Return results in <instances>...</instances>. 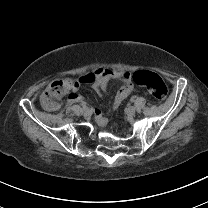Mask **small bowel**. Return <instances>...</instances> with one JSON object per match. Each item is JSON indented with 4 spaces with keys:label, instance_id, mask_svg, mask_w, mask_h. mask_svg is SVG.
<instances>
[{
    "label": "small bowel",
    "instance_id": "1",
    "mask_svg": "<svg viewBox=\"0 0 208 208\" xmlns=\"http://www.w3.org/2000/svg\"><path fill=\"white\" fill-rule=\"evenodd\" d=\"M109 78H115L123 82V86L117 92L112 102V108H117L132 92V85L130 84L129 77L125 73H118L105 67H98L93 72L87 73L79 79L68 80L74 90L78 89L80 85L92 84L97 92H101L105 89L106 81ZM80 101L81 99L76 94L69 96V104L79 103ZM103 113L104 110L100 106L95 107L93 110L95 122L100 128H106L108 126V121L102 116Z\"/></svg>",
    "mask_w": 208,
    "mask_h": 208
}]
</instances>
